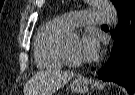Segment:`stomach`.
I'll return each instance as SVG.
<instances>
[{
    "label": "stomach",
    "mask_w": 135,
    "mask_h": 95,
    "mask_svg": "<svg viewBox=\"0 0 135 95\" xmlns=\"http://www.w3.org/2000/svg\"><path fill=\"white\" fill-rule=\"evenodd\" d=\"M71 90L74 93L83 94L88 90V84L81 79H75L70 84Z\"/></svg>",
    "instance_id": "stomach-1"
}]
</instances>
